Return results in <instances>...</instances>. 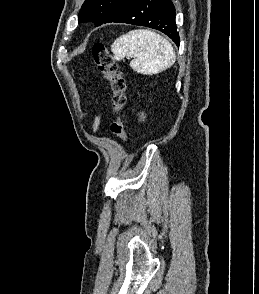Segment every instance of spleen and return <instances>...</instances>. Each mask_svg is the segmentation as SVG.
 <instances>
[{
    "label": "spleen",
    "mask_w": 259,
    "mask_h": 294,
    "mask_svg": "<svg viewBox=\"0 0 259 294\" xmlns=\"http://www.w3.org/2000/svg\"><path fill=\"white\" fill-rule=\"evenodd\" d=\"M117 61L133 58L130 67L138 73L153 75L171 67L176 60L169 41L159 34L144 29L129 31L111 45Z\"/></svg>",
    "instance_id": "spleen-1"
}]
</instances>
